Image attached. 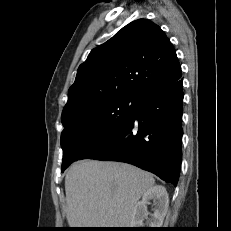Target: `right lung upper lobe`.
I'll return each mask as SVG.
<instances>
[{
    "label": "right lung upper lobe",
    "mask_w": 231,
    "mask_h": 231,
    "mask_svg": "<svg viewBox=\"0 0 231 231\" xmlns=\"http://www.w3.org/2000/svg\"><path fill=\"white\" fill-rule=\"evenodd\" d=\"M182 75L176 51L161 28L139 19L92 49L69 88L62 116L122 97L137 96Z\"/></svg>",
    "instance_id": "1"
}]
</instances>
